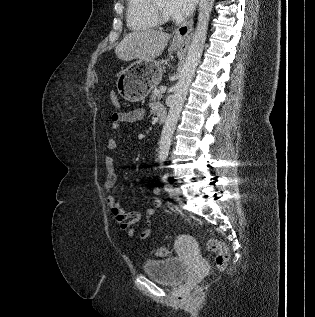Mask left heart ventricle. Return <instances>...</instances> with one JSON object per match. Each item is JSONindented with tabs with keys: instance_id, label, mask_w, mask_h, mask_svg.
Instances as JSON below:
<instances>
[{
	"instance_id": "obj_1",
	"label": "left heart ventricle",
	"mask_w": 315,
	"mask_h": 317,
	"mask_svg": "<svg viewBox=\"0 0 315 317\" xmlns=\"http://www.w3.org/2000/svg\"><path fill=\"white\" fill-rule=\"evenodd\" d=\"M166 3H167V0H157L155 2V5L156 7L162 11L165 15L169 16L166 12Z\"/></svg>"
}]
</instances>
